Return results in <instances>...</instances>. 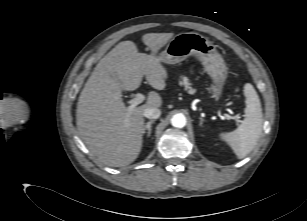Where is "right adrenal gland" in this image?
Masks as SVG:
<instances>
[{
  "label": "right adrenal gland",
  "mask_w": 307,
  "mask_h": 221,
  "mask_svg": "<svg viewBox=\"0 0 307 221\" xmlns=\"http://www.w3.org/2000/svg\"><path fill=\"white\" fill-rule=\"evenodd\" d=\"M154 122H155V120H151V121L146 123V125L144 126V129H143V134H145V132L147 131V136L150 137L151 131H152L151 125Z\"/></svg>",
  "instance_id": "right-adrenal-gland-1"
}]
</instances>
